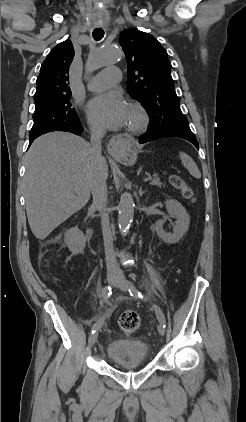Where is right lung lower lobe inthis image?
<instances>
[{
    "label": "right lung lower lobe",
    "instance_id": "98d812e1",
    "mask_svg": "<svg viewBox=\"0 0 246 422\" xmlns=\"http://www.w3.org/2000/svg\"><path fill=\"white\" fill-rule=\"evenodd\" d=\"M52 131H66V132H71V133H74V134H76V135H79V134H81V133H82L83 128H82V126H81L80 122H79L77 125H74V126H72V127H56V128L50 129V130H48V131H46V132H44V133H41V134H39V135H36V136H32V137H30V138H29V146H30V145L32 144V142H33V141H34L37 137H39L40 135H43V134H45V133L52 132Z\"/></svg>",
    "mask_w": 246,
    "mask_h": 422
}]
</instances>
